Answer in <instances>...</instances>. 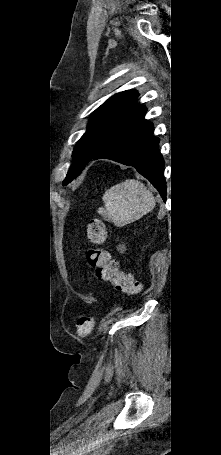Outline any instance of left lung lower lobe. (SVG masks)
Returning a JSON list of instances; mask_svg holds the SVG:
<instances>
[{"label": "left lung lower lobe", "mask_w": 221, "mask_h": 455, "mask_svg": "<svg viewBox=\"0 0 221 455\" xmlns=\"http://www.w3.org/2000/svg\"><path fill=\"white\" fill-rule=\"evenodd\" d=\"M152 127L143 117L107 143L92 160L104 158L133 166L165 200L164 160L158 149L159 139L151 134Z\"/></svg>", "instance_id": "1"}]
</instances>
